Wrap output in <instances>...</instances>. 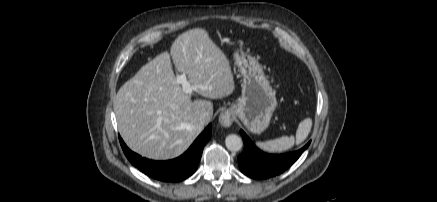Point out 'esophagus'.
Returning <instances> with one entry per match:
<instances>
[{"label": "esophagus", "mask_w": 437, "mask_h": 202, "mask_svg": "<svg viewBox=\"0 0 437 202\" xmlns=\"http://www.w3.org/2000/svg\"><path fill=\"white\" fill-rule=\"evenodd\" d=\"M234 120V114L232 111L227 110L220 114L219 122L224 127H229Z\"/></svg>", "instance_id": "esophagus-1"}]
</instances>
